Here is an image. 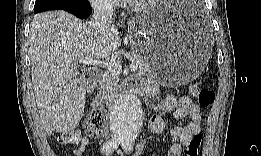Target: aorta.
Segmentation results:
<instances>
[{
	"label": "aorta",
	"instance_id": "1",
	"mask_svg": "<svg viewBox=\"0 0 261 156\" xmlns=\"http://www.w3.org/2000/svg\"><path fill=\"white\" fill-rule=\"evenodd\" d=\"M143 107L138 96L122 95L110 112V128L120 141L133 142L143 125Z\"/></svg>",
	"mask_w": 261,
	"mask_h": 156
}]
</instances>
